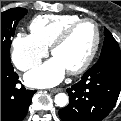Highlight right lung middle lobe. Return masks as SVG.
<instances>
[{
  "mask_svg": "<svg viewBox=\"0 0 121 121\" xmlns=\"http://www.w3.org/2000/svg\"><path fill=\"white\" fill-rule=\"evenodd\" d=\"M26 13L24 8H12L1 13V60H10L11 37L14 36L18 21Z\"/></svg>",
  "mask_w": 121,
  "mask_h": 121,
  "instance_id": "obj_1",
  "label": "right lung middle lobe"
}]
</instances>
